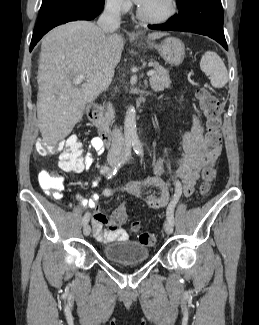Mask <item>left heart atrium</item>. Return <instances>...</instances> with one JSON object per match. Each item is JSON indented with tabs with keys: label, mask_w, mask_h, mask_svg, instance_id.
<instances>
[{
	"label": "left heart atrium",
	"mask_w": 259,
	"mask_h": 325,
	"mask_svg": "<svg viewBox=\"0 0 259 325\" xmlns=\"http://www.w3.org/2000/svg\"><path fill=\"white\" fill-rule=\"evenodd\" d=\"M137 4L143 6L145 5L149 0H134Z\"/></svg>",
	"instance_id": "39dd6f15"
}]
</instances>
